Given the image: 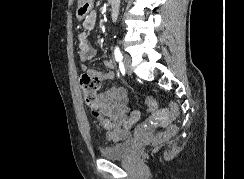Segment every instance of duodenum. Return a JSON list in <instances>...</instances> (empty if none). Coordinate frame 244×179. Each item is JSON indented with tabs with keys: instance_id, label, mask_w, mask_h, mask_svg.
<instances>
[{
	"instance_id": "obj_1",
	"label": "duodenum",
	"mask_w": 244,
	"mask_h": 179,
	"mask_svg": "<svg viewBox=\"0 0 244 179\" xmlns=\"http://www.w3.org/2000/svg\"><path fill=\"white\" fill-rule=\"evenodd\" d=\"M118 13V9H117V7H112L111 8V14L112 15H116Z\"/></svg>"
}]
</instances>
